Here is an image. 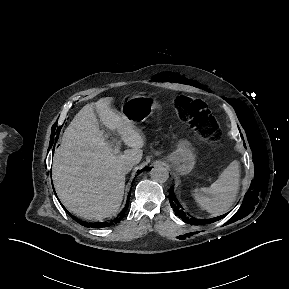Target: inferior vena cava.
<instances>
[{
  "instance_id": "1",
  "label": "inferior vena cava",
  "mask_w": 289,
  "mask_h": 289,
  "mask_svg": "<svg viewBox=\"0 0 289 289\" xmlns=\"http://www.w3.org/2000/svg\"><path fill=\"white\" fill-rule=\"evenodd\" d=\"M133 166H134L133 163H125V164L122 166V170H123V172L128 173Z\"/></svg>"
}]
</instances>
